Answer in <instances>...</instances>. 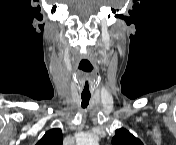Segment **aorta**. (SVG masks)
Segmentation results:
<instances>
[{
    "label": "aorta",
    "mask_w": 176,
    "mask_h": 145,
    "mask_svg": "<svg viewBox=\"0 0 176 145\" xmlns=\"http://www.w3.org/2000/svg\"><path fill=\"white\" fill-rule=\"evenodd\" d=\"M98 137L94 134L87 133L83 137V144L85 145H97L98 144Z\"/></svg>",
    "instance_id": "762f6f07"
}]
</instances>
